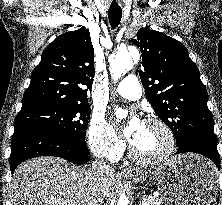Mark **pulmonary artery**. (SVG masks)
<instances>
[{"label":"pulmonary artery","mask_w":222,"mask_h":205,"mask_svg":"<svg viewBox=\"0 0 222 205\" xmlns=\"http://www.w3.org/2000/svg\"><path fill=\"white\" fill-rule=\"evenodd\" d=\"M115 92L120 96L129 99L137 100L142 95V89L137 77L133 75L126 76L116 87Z\"/></svg>","instance_id":"e3ab8cb5"}]
</instances>
